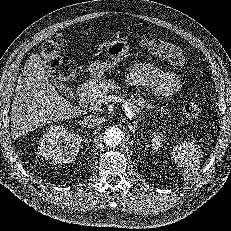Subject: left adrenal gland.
I'll use <instances>...</instances> for the list:
<instances>
[{
	"instance_id": "obj_1",
	"label": "left adrenal gland",
	"mask_w": 231,
	"mask_h": 231,
	"mask_svg": "<svg viewBox=\"0 0 231 231\" xmlns=\"http://www.w3.org/2000/svg\"><path fill=\"white\" fill-rule=\"evenodd\" d=\"M141 121V117H139V119H137L136 121L133 122V125L129 124L128 123V128L133 132L135 133V130L137 128V124L138 122Z\"/></svg>"
}]
</instances>
